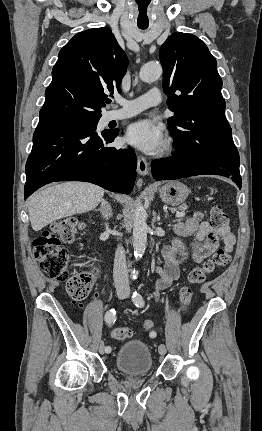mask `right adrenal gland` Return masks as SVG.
<instances>
[{
  "label": "right adrenal gland",
  "instance_id": "2a0ac1e0",
  "mask_svg": "<svg viewBox=\"0 0 262 431\" xmlns=\"http://www.w3.org/2000/svg\"><path fill=\"white\" fill-rule=\"evenodd\" d=\"M96 211H100L104 220H109L112 216L111 206L105 199H102L100 208Z\"/></svg>",
  "mask_w": 262,
  "mask_h": 431
}]
</instances>
